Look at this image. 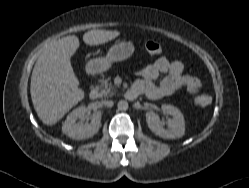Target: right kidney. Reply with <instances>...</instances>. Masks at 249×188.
Instances as JSON below:
<instances>
[{
	"label": "right kidney",
	"mask_w": 249,
	"mask_h": 188,
	"mask_svg": "<svg viewBox=\"0 0 249 188\" xmlns=\"http://www.w3.org/2000/svg\"><path fill=\"white\" fill-rule=\"evenodd\" d=\"M88 115L89 111L85 106L74 109L63 123L62 132L68 137L76 140L92 137L101 127V113H93L90 123L84 124V120ZM77 119H80V122L75 123Z\"/></svg>",
	"instance_id": "ca27d5eb"
}]
</instances>
